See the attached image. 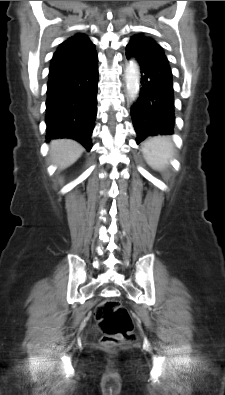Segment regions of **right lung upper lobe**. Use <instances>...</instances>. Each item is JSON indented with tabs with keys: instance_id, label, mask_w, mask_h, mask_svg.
Segmentation results:
<instances>
[{
	"instance_id": "obj_1",
	"label": "right lung upper lobe",
	"mask_w": 225,
	"mask_h": 395,
	"mask_svg": "<svg viewBox=\"0 0 225 395\" xmlns=\"http://www.w3.org/2000/svg\"><path fill=\"white\" fill-rule=\"evenodd\" d=\"M97 59L94 44L85 34H75L62 42L51 60L49 76L81 69Z\"/></svg>"
}]
</instances>
